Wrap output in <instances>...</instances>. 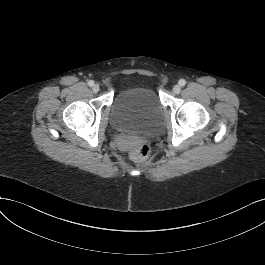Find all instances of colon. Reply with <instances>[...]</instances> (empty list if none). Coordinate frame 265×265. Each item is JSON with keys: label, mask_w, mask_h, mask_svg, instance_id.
I'll list each match as a JSON object with an SVG mask.
<instances>
[{"label": "colon", "mask_w": 265, "mask_h": 265, "mask_svg": "<svg viewBox=\"0 0 265 265\" xmlns=\"http://www.w3.org/2000/svg\"><path fill=\"white\" fill-rule=\"evenodd\" d=\"M126 140L128 139H134L132 138H125ZM151 153V148L147 144H141L133 147L132 149V157L135 160L141 161L146 159Z\"/></svg>", "instance_id": "5ec220e1"}]
</instances>
